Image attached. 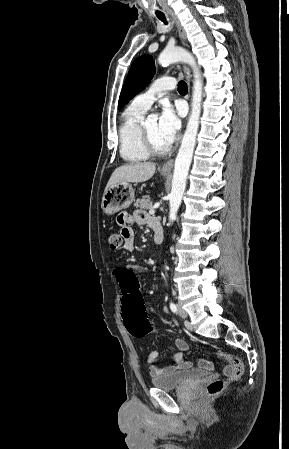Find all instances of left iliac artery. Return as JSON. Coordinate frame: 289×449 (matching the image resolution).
Instances as JSON below:
<instances>
[{
    "instance_id": "obj_1",
    "label": "left iliac artery",
    "mask_w": 289,
    "mask_h": 449,
    "mask_svg": "<svg viewBox=\"0 0 289 449\" xmlns=\"http://www.w3.org/2000/svg\"><path fill=\"white\" fill-rule=\"evenodd\" d=\"M170 309H171V311L172 312H177V306H176V304L175 303H173V302H170Z\"/></svg>"
}]
</instances>
